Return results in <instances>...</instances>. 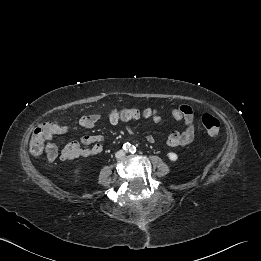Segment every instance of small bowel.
<instances>
[{
    "label": "small bowel",
    "mask_w": 261,
    "mask_h": 261,
    "mask_svg": "<svg viewBox=\"0 0 261 261\" xmlns=\"http://www.w3.org/2000/svg\"><path fill=\"white\" fill-rule=\"evenodd\" d=\"M172 117L184 124V129L182 131L173 130L170 132L167 138V144L170 147L186 146L190 144L195 137V116L193 109L188 105H181L174 108L171 111ZM100 120V115L90 114L82 116L77 125L82 128H92ZM111 124H117L120 120L112 121L108 119ZM154 123H159L161 117L159 114L152 116ZM49 134L48 143L46 145L47 158L50 162H53L58 157V148L52 142V137L54 134H65L70 132L74 127L72 125H59L56 123H48ZM128 132L131 133L132 129L127 128ZM104 138L101 135H86L83 136L80 141L69 142L61 151V160H72L79 157H91L99 154L103 149ZM147 141L149 143L155 142V137L153 135L147 136Z\"/></svg>",
    "instance_id": "c3829d8e"
}]
</instances>
